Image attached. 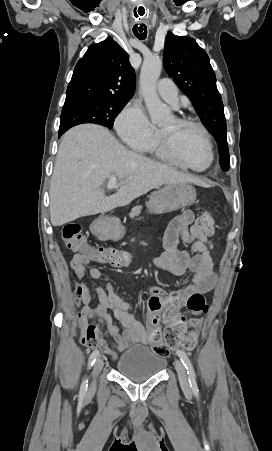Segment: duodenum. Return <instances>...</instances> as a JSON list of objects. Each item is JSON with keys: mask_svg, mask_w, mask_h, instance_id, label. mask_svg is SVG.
Instances as JSON below:
<instances>
[{"mask_svg": "<svg viewBox=\"0 0 272 451\" xmlns=\"http://www.w3.org/2000/svg\"><path fill=\"white\" fill-rule=\"evenodd\" d=\"M92 232L95 236L103 240L109 237V231L103 219H98L93 223Z\"/></svg>", "mask_w": 272, "mask_h": 451, "instance_id": "duodenum-1", "label": "duodenum"}]
</instances>
